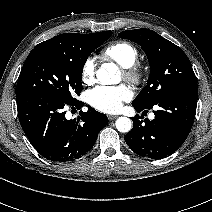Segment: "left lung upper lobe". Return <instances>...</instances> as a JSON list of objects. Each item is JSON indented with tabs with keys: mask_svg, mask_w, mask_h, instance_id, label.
I'll return each mask as SVG.
<instances>
[{
	"mask_svg": "<svg viewBox=\"0 0 212 212\" xmlns=\"http://www.w3.org/2000/svg\"><path fill=\"white\" fill-rule=\"evenodd\" d=\"M118 36L138 43L150 64L148 83L132 105L152 106L175 92L198 88L190 60L180 47L149 29L126 30Z\"/></svg>",
	"mask_w": 212,
	"mask_h": 212,
	"instance_id": "obj_1",
	"label": "left lung upper lobe"
}]
</instances>
